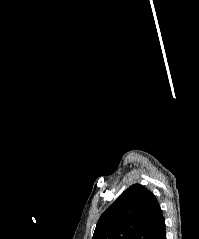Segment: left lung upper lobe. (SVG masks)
Wrapping results in <instances>:
<instances>
[{"mask_svg":"<svg viewBox=\"0 0 199 239\" xmlns=\"http://www.w3.org/2000/svg\"><path fill=\"white\" fill-rule=\"evenodd\" d=\"M162 217L154 194L134 184L100 216L92 239H150Z\"/></svg>","mask_w":199,"mask_h":239,"instance_id":"obj_1","label":"left lung upper lobe"}]
</instances>
